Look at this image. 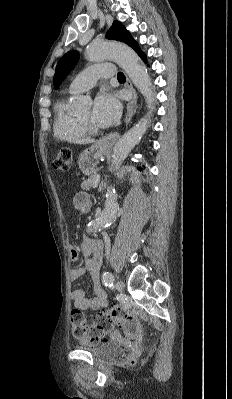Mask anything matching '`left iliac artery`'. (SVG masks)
I'll use <instances>...</instances> for the list:
<instances>
[{"label":"left iliac artery","instance_id":"obj_1","mask_svg":"<svg viewBox=\"0 0 232 399\" xmlns=\"http://www.w3.org/2000/svg\"><path fill=\"white\" fill-rule=\"evenodd\" d=\"M113 281H114L113 274L110 271H105L103 276L104 285L112 289L115 293L116 299L119 300L121 298V295L116 292L115 287L113 285Z\"/></svg>","mask_w":232,"mask_h":399}]
</instances>
